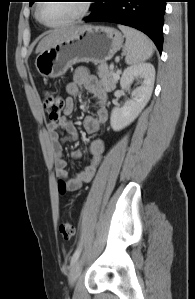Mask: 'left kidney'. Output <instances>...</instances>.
<instances>
[{
  "instance_id": "5707ae66",
  "label": "left kidney",
  "mask_w": 195,
  "mask_h": 299,
  "mask_svg": "<svg viewBox=\"0 0 195 299\" xmlns=\"http://www.w3.org/2000/svg\"><path fill=\"white\" fill-rule=\"evenodd\" d=\"M134 79L139 80L141 85L132 91V98L121 108L115 107L111 112L110 124L114 131L130 125L147 105L154 87V66L151 63H140L128 67L122 74L121 88L129 89Z\"/></svg>"
}]
</instances>
